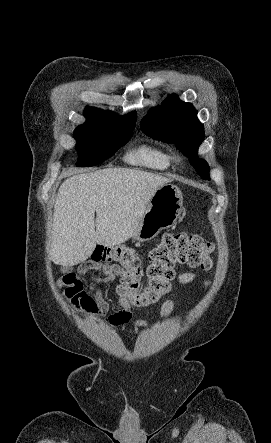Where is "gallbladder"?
I'll return each instance as SVG.
<instances>
[{
  "instance_id": "bac80fb5",
  "label": "gallbladder",
  "mask_w": 271,
  "mask_h": 443,
  "mask_svg": "<svg viewBox=\"0 0 271 443\" xmlns=\"http://www.w3.org/2000/svg\"><path fill=\"white\" fill-rule=\"evenodd\" d=\"M69 269H72L71 265H62L61 271H69Z\"/></svg>"
}]
</instances>
